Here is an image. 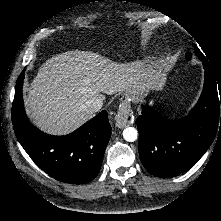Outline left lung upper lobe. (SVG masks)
<instances>
[{"label": "left lung upper lobe", "mask_w": 221, "mask_h": 221, "mask_svg": "<svg viewBox=\"0 0 221 221\" xmlns=\"http://www.w3.org/2000/svg\"><path fill=\"white\" fill-rule=\"evenodd\" d=\"M196 52H197V54H198L199 58H200V59H202V60L204 61V59H203V57L200 55L199 51H198V50H196Z\"/></svg>", "instance_id": "1"}]
</instances>
